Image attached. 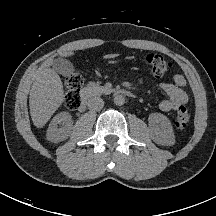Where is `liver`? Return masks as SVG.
Wrapping results in <instances>:
<instances>
[{"mask_svg": "<svg viewBox=\"0 0 216 216\" xmlns=\"http://www.w3.org/2000/svg\"><path fill=\"white\" fill-rule=\"evenodd\" d=\"M71 56L72 52L63 53ZM119 54H107L103 58L110 59ZM53 59L46 60L36 71L30 90L29 106L33 124L42 128L65 100L63 84L59 75L51 69Z\"/></svg>", "mask_w": 216, "mask_h": 216, "instance_id": "obj_1", "label": "liver"}]
</instances>
